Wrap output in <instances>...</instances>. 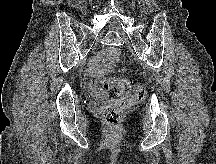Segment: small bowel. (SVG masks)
I'll use <instances>...</instances> for the list:
<instances>
[{"instance_id": "small-bowel-1", "label": "small bowel", "mask_w": 216, "mask_h": 164, "mask_svg": "<svg viewBox=\"0 0 216 164\" xmlns=\"http://www.w3.org/2000/svg\"><path fill=\"white\" fill-rule=\"evenodd\" d=\"M107 55L109 57H115L117 55V52L115 50H109L107 52ZM107 71L108 65L100 66L96 61H93L88 69V72L92 77H99L101 75H104ZM90 92L94 97L98 99H103L105 96L104 90L100 86H98L96 82H92L90 84Z\"/></svg>"}]
</instances>
